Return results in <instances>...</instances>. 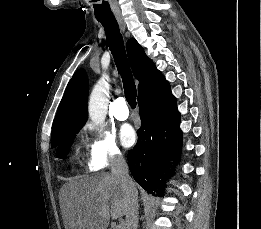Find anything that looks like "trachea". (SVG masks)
<instances>
[{
    "label": "trachea",
    "instance_id": "3493384b",
    "mask_svg": "<svg viewBox=\"0 0 261 229\" xmlns=\"http://www.w3.org/2000/svg\"><path fill=\"white\" fill-rule=\"evenodd\" d=\"M96 18L104 27L108 46L123 81L126 100L132 108H135L137 96L136 86L128 64L123 37L120 33L116 18L114 16Z\"/></svg>",
    "mask_w": 261,
    "mask_h": 229
}]
</instances>
